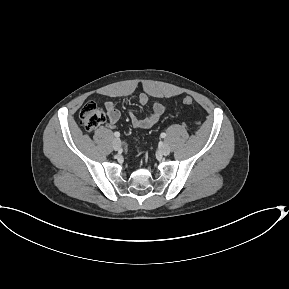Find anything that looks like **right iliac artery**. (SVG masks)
<instances>
[{
    "instance_id": "1",
    "label": "right iliac artery",
    "mask_w": 289,
    "mask_h": 289,
    "mask_svg": "<svg viewBox=\"0 0 289 289\" xmlns=\"http://www.w3.org/2000/svg\"><path fill=\"white\" fill-rule=\"evenodd\" d=\"M114 136L118 138V137H120V133L119 132H115Z\"/></svg>"
}]
</instances>
